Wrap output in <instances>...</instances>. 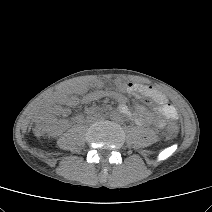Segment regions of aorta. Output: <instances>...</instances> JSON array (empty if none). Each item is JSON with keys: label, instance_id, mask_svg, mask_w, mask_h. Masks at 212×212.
I'll return each instance as SVG.
<instances>
[{"label": "aorta", "instance_id": "aorta-1", "mask_svg": "<svg viewBox=\"0 0 212 212\" xmlns=\"http://www.w3.org/2000/svg\"><path fill=\"white\" fill-rule=\"evenodd\" d=\"M110 119H111L113 122H119V121L122 119V114H121L119 111H113V112L110 114Z\"/></svg>", "mask_w": 212, "mask_h": 212}]
</instances>
